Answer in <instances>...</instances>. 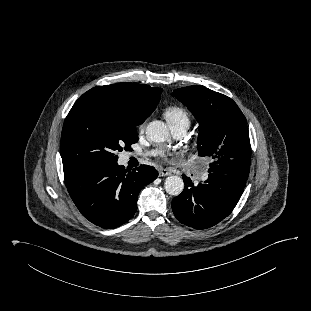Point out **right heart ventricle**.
<instances>
[{
  "mask_svg": "<svg viewBox=\"0 0 311 311\" xmlns=\"http://www.w3.org/2000/svg\"><path fill=\"white\" fill-rule=\"evenodd\" d=\"M164 117L170 127L185 124L189 126L190 115L188 111L178 105H172L164 110Z\"/></svg>",
  "mask_w": 311,
  "mask_h": 311,
  "instance_id": "obj_1",
  "label": "right heart ventricle"
}]
</instances>
